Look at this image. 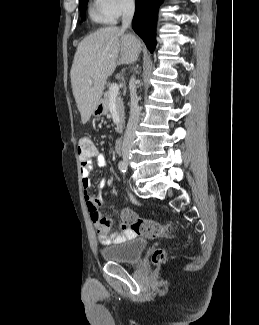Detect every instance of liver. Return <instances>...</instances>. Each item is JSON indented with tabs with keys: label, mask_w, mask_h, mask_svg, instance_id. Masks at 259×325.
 <instances>
[{
	"label": "liver",
	"mask_w": 259,
	"mask_h": 325,
	"mask_svg": "<svg viewBox=\"0 0 259 325\" xmlns=\"http://www.w3.org/2000/svg\"><path fill=\"white\" fill-rule=\"evenodd\" d=\"M140 51L139 39L114 26L101 28L79 43L70 77L83 124L101 101L107 78L116 66L134 63Z\"/></svg>",
	"instance_id": "1"
}]
</instances>
